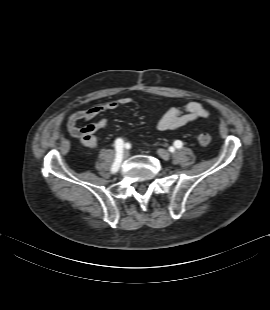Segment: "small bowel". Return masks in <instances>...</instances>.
I'll list each match as a JSON object with an SVG mask.
<instances>
[{
    "label": "small bowel",
    "instance_id": "c3829d8e",
    "mask_svg": "<svg viewBox=\"0 0 270 310\" xmlns=\"http://www.w3.org/2000/svg\"><path fill=\"white\" fill-rule=\"evenodd\" d=\"M131 103V98L122 97L117 100L108 101L78 110L68 116L66 121L67 130L73 138L79 140L84 146L88 148H95L97 146V138L95 133L108 125V118L101 117L97 121L82 127L78 126V123L81 121H90L101 114L114 111L120 106H125ZM208 116L209 111L202 103L198 101H191L183 108H169L157 121L156 127L160 131L177 130L191 122L201 118H206Z\"/></svg>",
    "mask_w": 270,
    "mask_h": 310
}]
</instances>
